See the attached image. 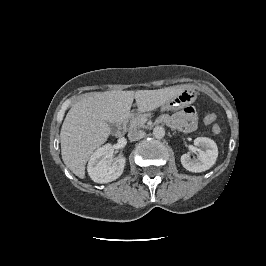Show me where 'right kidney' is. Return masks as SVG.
Listing matches in <instances>:
<instances>
[{
  "mask_svg": "<svg viewBox=\"0 0 266 266\" xmlns=\"http://www.w3.org/2000/svg\"><path fill=\"white\" fill-rule=\"evenodd\" d=\"M110 145L98 148L90 157L88 162V174L96 183H108L116 180L123 173L126 159L117 158L112 162L109 158Z\"/></svg>",
  "mask_w": 266,
  "mask_h": 266,
  "instance_id": "1",
  "label": "right kidney"
}]
</instances>
